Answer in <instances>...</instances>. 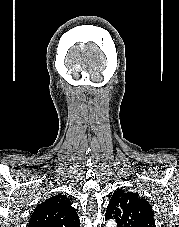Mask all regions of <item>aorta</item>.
<instances>
[{
	"label": "aorta",
	"mask_w": 179,
	"mask_h": 227,
	"mask_svg": "<svg viewBox=\"0 0 179 227\" xmlns=\"http://www.w3.org/2000/svg\"><path fill=\"white\" fill-rule=\"evenodd\" d=\"M106 227H117L116 222L114 220H110L107 222Z\"/></svg>",
	"instance_id": "obj_1"
}]
</instances>
